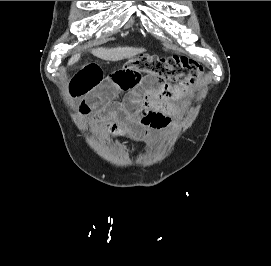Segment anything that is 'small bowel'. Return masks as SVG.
Returning a JSON list of instances; mask_svg holds the SVG:
<instances>
[{"label": "small bowel", "mask_w": 271, "mask_h": 266, "mask_svg": "<svg viewBox=\"0 0 271 266\" xmlns=\"http://www.w3.org/2000/svg\"><path fill=\"white\" fill-rule=\"evenodd\" d=\"M69 93L79 100V114L92 115L95 129L113 136L127 135L144 141L156 131L170 126L186 107L187 90L136 68L123 67L104 75L90 63L73 75ZM125 93L122 101H116Z\"/></svg>", "instance_id": "1"}]
</instances>
